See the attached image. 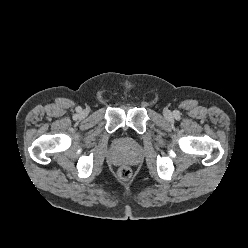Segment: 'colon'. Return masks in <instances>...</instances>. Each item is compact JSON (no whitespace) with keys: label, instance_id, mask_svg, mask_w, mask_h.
<instances>
[{"label":"colon","instance_id":"colon-1","mask_svg":"<svg viewBox=\"0 0 248 248\" xmlns=\"http://www.w3.org/2000/svg\"><path fill=\"white\" fill-rule=\"evenodd\" d=\"M131 175H132V171L127 166L120 167L117 172L118 178L123 181H127L128 179H130Z\"/></svg>","mask_w":248,"mask_h":248}]
</instances>
